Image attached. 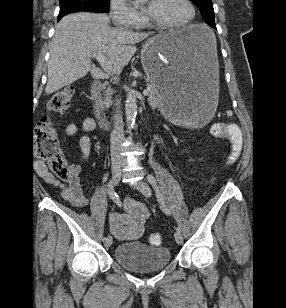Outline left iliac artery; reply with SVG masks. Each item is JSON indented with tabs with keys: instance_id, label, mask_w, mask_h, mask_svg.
Segmentation results:
<instances>
[{
	"instance_id": "obj_1",
	"label": "left iliac artery",
	"mask_w": 286,
	"mask_h": 308,
	"mask_svg": "<svg viewBox=\"0 0 286 308\" xmlns=\"http://www.w3.org/2000/svg\"><path fill=\"white\" fill-rule=\"evenodd\" d=\"M147 180L148 182L152 185V187L154 188L155 192H156V196H157V199L159 201V203L161 204V207L163 208V211L167 214V215H170V211L169 209L166 207L165 205V202H164V199H163V196L159 190V186L157 184V181L156 179L152 176V175H148L147 176ZM177 231L181 232V229L180 227L178 226L176 228Z\"/></svg>"
}]
</instances>
